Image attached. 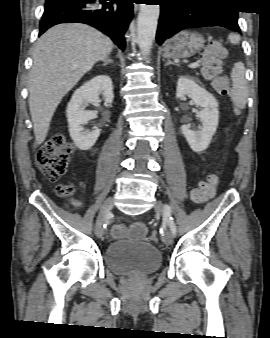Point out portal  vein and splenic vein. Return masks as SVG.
I'll return each instance as SVG.
<instances>
[{
    "instance_id": "18ae733b",
    "label": "portal vein and splenic vein",
    "mask_w": 270,
    "mask_h": 338,
    "mask_svg": "<svg viewBox=\"0 0 270 338\" xmlns=\"http://www.w3.org/2000/svg\"><path fill=\"white\" fill-rule=\"evenodd\" d=\"M200 66V64L198 63V62H193V63H190L189 64V67L190 68H197V67H199Z\"/></svg>"
}]
</instances>
